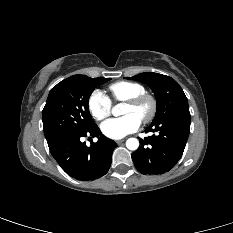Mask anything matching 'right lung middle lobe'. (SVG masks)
I'll list each match as a JSON object with an SVG mask.
<instances>
[{"mask_svg":"<svg viewBox=\"0 0 233 233\" xmlns=\"http://www.w3.org/2000/svg\"><path fill=\"white\" fill-rule=\"evenodd\" d=\"M109 80L74 75L53 87L42 111L47 142L64 134L84 132L94 126L88 108L89 97L97 86Z\"/></svg>","mask_w":233,"mask_h":233,"instance_id":"dd1d6c3e","label":"right lung middle lobe"}]
</instances>
